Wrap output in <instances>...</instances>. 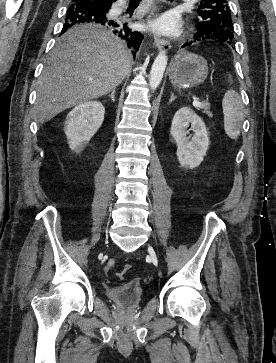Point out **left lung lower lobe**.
<instances>
[{"label":"left lung lower lobe","instance_id":"obj_1","mask_svg":"<svg viewBox=\"0 0 276 363\" xmlns=\"http://www.w3.org/2000/svg\"><path fill=\"white\" fill-rule=\"evenodd\" d=\"M208 36L205 35V33H202L200 31H198L195 35H194V41H200V40H204V39H207ZM192 43L190 42H186L184 45H182V48L183 47H187V46H190Z\"/></svg>","mask_w":276,"mask_h":363}]
</instances>
